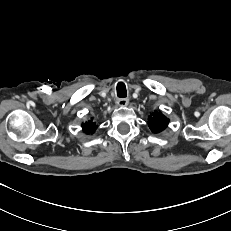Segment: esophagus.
<instances>
[{
	"label": "esophagus",
	"instance_id": "obj_1",
	"mask_svg": "<svg viewBox=\"0 0 231 231\" xmlns=\"http://www.w3.org/2000/svg\"><path fill=\"white\" fill-rule=\"evenodd\" d=\"M116 103L120 107H125L129 104V99L128 98H119V99H117Z\"/></svg>",
	"mask_w": 231,
	"mask_h": 231
}]
</instances>
